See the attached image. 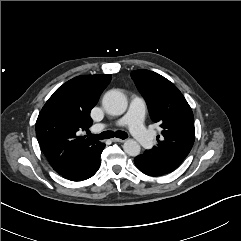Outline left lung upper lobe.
<instances>
[{
  "instance_id": "1",
  "label": "left lung upper lobe",
  "mask_w": 241,
  "mask_h": 241,
  "mask_svg": "<svg viewBox=\"0 0 241 241\" xmlns=\"http://www.w3.org/2000/svg\"><path fill=\"white\" fill-rule=\"evenodd\" d=\"M131 77L147 103L152 120L162 128L161 136H157L158 145L146 150L142 157L147 162L176 169L194 143L192 110L178 88L165 77L149 70L133 71Z\"/></svg>"
}]
</instances>
